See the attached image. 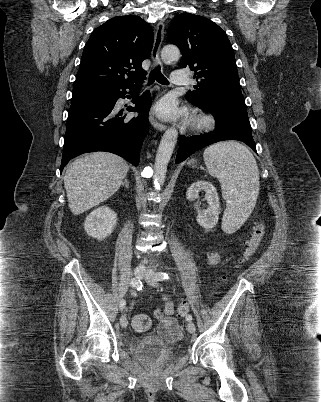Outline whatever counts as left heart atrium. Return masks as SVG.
I'll return each instance as SVG.
<instances>
[{
	"instance_id": "left-heart-atrium-1",
	"label": "left heart atrium",
	"mask_w": 321,
	"mask_h": 402,
	"mask_svg": "<svg viewBox=\"0 0 321 402\" xmlns=\"http://www.w3.org/2000/svg\"><path fill=\"white\" fill-rule=\"evenodd\" d=\"M155 113L163 119L174 120L180 118L184 113L178 110L175 103L170 99L162 100L155 108Z\"/></svg>"
}]
</instances>
